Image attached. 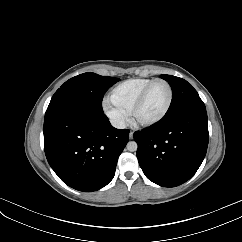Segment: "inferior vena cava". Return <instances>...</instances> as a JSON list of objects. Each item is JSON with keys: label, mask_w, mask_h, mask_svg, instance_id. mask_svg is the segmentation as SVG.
<instances>
[{"label": "inferior vena cava", "mask_w": 242, "mask_h": 242, "mask_svg": "<svg viewBox=\"0 0 242 242\" xmlns=\"http://www.w3.org/2000/svg\"><path fill=\"white\" fill-rule=\"evenodd\" d=\"M111 124H112L113 127L117 128V129H124L125 128V122L121 119L112 120Z\"/></svg>", "instance_id": "602c4592"}]
</instances>
